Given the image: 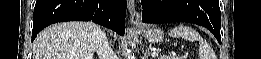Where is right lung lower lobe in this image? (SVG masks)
<instances>
[{"label": "right lung lower lobe", "instance_id": "right-lung-lower-lobe-1", "mask_svg": "<svg viewBox=\"0 0 261 59\" xmlns=\"http://www.w3.org/2000/svg\"><path fill=\"white\" fill-rule=\"evenodd\" d=\"M126 0H37L32 41L50 24L93 21L122 35L125 32Z\"/></svg>", "mask_w": 261, "mask_h": 59}]
</instances>
